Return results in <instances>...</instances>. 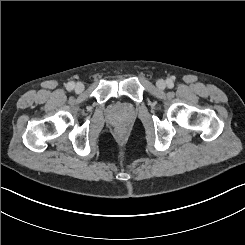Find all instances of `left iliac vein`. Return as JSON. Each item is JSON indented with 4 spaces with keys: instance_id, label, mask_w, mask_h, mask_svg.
<instances>
[{
    "instance_id": "1",
    "label": "left iliac vein",
    "mask_w": 245,
    "mask_h": 245,
    "mask_svg": "<svg viewBox=\"0 0 245 245\" xmlns=\"http://www.w3.org/2000/svg\"><path fill=\"white\" fill-rule=\"evenodd\" d=\"M156 85L159 89H164L166 87V83L163 79L158 80Z\"/></svg>"
}]
</instances>
